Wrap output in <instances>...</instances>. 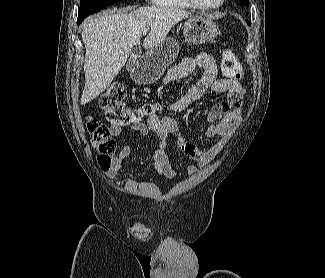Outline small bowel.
Instances as JSON below:
<instances>
[{"label":"small bowel","instance_id":"small-bowel-1","mask_svg":"<svg viewBox=\"0 0 325 278\" xmlns=\"http://www.w3.org/2000/svg\"><path fill=\"white\" fill-rule=\"evenodd\" d=\"M198 67L204 70L202 77L179 99L168 102L167 109L173 113L183 112L209 90L217 93H227L226 100L214 105L207 114L206 137H220L219 141L214 145L199 147L190 142L180 132L176 120L167 115L153 114L148 117L146 122L133 123L126 127L116 124L111 125V132L116 137L120 136L124 129L141 135L157 134L159 140L156 147L152 149L150 163L158 175L168 179L177 177L176 171L171 167L166 151L167 141L170 136L175 138L178 149L189 159L190 163L187 165L186 170L187 174L191 176L198 171L195 163L200 166L206 165L226 145L241 123V104L246 94V87L240 81L219 78L217 64L211 55L200 53L195 57L184 58L169 70L163 79V84L167 85L173 80L187 77ZM131 153L132 148L129 145L122 147L113 157L111 165L106 171V176L113 178L120 174ZM135 229L138 228L135 227Z\"/></svg>","mask_w":325,"mask_h":278}]
</instances>
